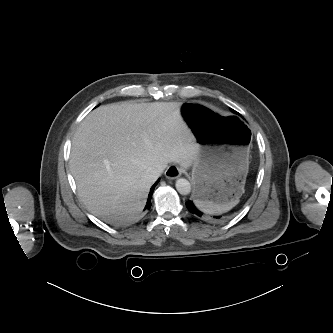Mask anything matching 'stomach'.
Wrapping results in <instances>:
<instances>
[{"mask_svg": "<svg viewBox=\"0 0 333 333\" xmlns=\"http://www.w3.org/2000/svg\"><path fill=\"white\" fill-rule=\"evenodd\" d=\"M180 113L182 128L199 145L192 168L194 197L216 204L238 202L249 168L250 129L204 102L185 103Z\"/></svg>", "mask_w": 333, "mask_h": 333, "instance_id": "1", "label": "stomach"}]
</instances>
